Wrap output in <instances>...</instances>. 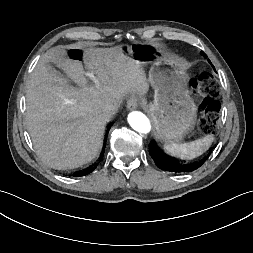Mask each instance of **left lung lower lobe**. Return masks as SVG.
<instances>
[{"label":"left lung lower lobe","instance_id":"1","mask_svg":"<svg viewBox=\"0 0 253 253\" xmlns=\"http://www.w3.org/2000/svg\"><path fill=\"white\" fill-rule=\"evenodd\" d=\"M204 57L206 58L205 54H204ZM149 152L158 168L165 171L174 172V173L192 172L198 169L200 166H202L205 160L207 159V157H205L203 160L199 162H194L190 164H181L173 159L166 157L162 153H160L153 145H150Z\"/></svg>","mask_w":253,"mask_h":253}]
</instances>
